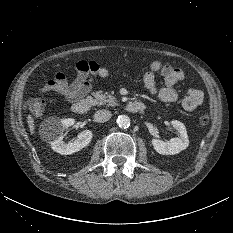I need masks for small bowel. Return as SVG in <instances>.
Here are the masks:
<instances>
[{"instance_id":"c3829d8e","label":"small bowel","mask_w":233,"mask_h":233,"mask_svg":"<svg viewBox=\"0 0 233 233\" xmlns=\"http://www.w3.org/2000/svg\"><path fill=\"white\" fill-rule=\"evenodd\" d=\"M150 70L144 75L143 83L145 88L163 102H175L178 94L174 85L182 81L185 77L182 70L170 65H163L159 61L150 63ZM75 78L69 82L66 76L57 72L53 79L49 80L41 89L42 93L56 92L64 96L68 101H75L83 98L91 89V83L95 78H105L109 76V70L101 66L96 61H79L76 64ZM160 73L164 86L158 87L155 74ZM204 100L201 90L191 88L182 99V107L187 112L195 111Z\"/></svg>"}]
</instances>
